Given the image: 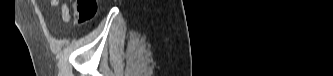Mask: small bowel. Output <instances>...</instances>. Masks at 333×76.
I'll list each match as a JSON object with an SVG mask.
<instances>
[{
  "label": "small bowel",
  "mask_w": 333,
  "mask_h": 76,
  "mask_svg": "<svg viewBox=\"0 0 333 76\" xmlns=\"http://www.w3.org/2000/svg\"><path fill=\"white\" fill-rule=\"evenodd\" d=\"M51 4L53 6H61V12H62V18L65 22H68L70 19V13H69V8L66 3H61L58 0H52Z\"/></svg>",
  "instance_id": "c3829d8e"
}]
</instances>
